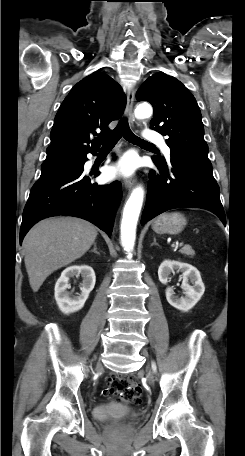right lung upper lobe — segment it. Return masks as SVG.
I'll use <instances>...</instances> for the list:
<instances>
[{
	"label": "right lung upper lobe",
	"mask_w": 245,
	"mask_h": 456,
	"mask_svg": "<svg viewBox=\"0 0 245 456\" xmlns=\"http://www.w3.org/2000/svg\"><path fill=\"white\" fill-rule=\"evenodd\" d=\"M122 88L105 73L94 72L78 82L62 102L51 130V144L41 169L78 162L99 145L91 141L110 132L108 124L120 118L126 96ZM92 142L91 147L89 143ZM88 144V145H86Z\"/></svg>",
	"instance_id": "obj_1"
}]
</instances>
